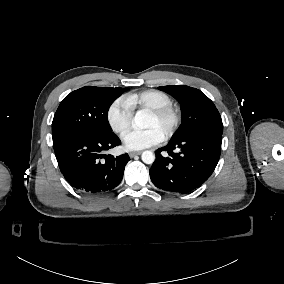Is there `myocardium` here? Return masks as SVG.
<instances>
[{"label":"myocardium","instance_id":"f54148a6","mask_svg":"<svg viewBox=\"0 0 284 284\" xmlns=\"http://www.w3.org/2000/svg\"><path fill=\"white\" fill-rule=\"evenodd\" d=\"M150 114L157 119H165L167 121V129L163 135V140H169L179 126L180 117L178 111L171 105L152 109Z\"/></svg>","mask_w":284,"mask_h":284}]
</instances>
